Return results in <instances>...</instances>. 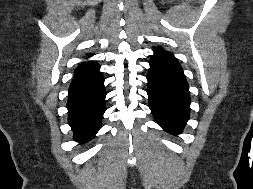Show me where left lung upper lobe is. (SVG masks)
I'll return each instance as SVG.
<instances>
[{"label":"left lung upper lobe","instance_id":"obj_1","mask_svg":"<svg viewBox=\"0 0 253 189\" xmlns=\"http://www.w3.org/2000/svg\"><path fill=\"white\" fill-rule=\"evenodd\" d=\"M153 51H154V55L152 56L151 60L164 59V60H169L180 65L172 54L167 53L161 47H155Z\"/></svg>","mask_w":253,"mask_h":189}]
</instances>
